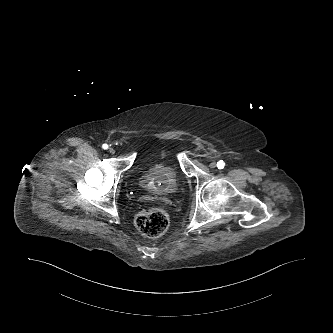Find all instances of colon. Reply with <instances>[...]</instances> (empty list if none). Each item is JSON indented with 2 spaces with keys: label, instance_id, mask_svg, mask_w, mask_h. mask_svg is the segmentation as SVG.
<instances>
[{
  "label": "colon",
  "instance_id": "1",
  "mask_svg": "<svg viewBox=\"0 0 333 333\" xmlns=\"http://www.w3.org/2000/svg\"><path fill=\"white\" fill-rule=\"evenodd\" d=\"M137 229L147 237H158L168 228L169 217L165 210L156 208L143 211L136 216Z\"/></svg>",
  "mask_w": 333,
  "mask_h": 333
}]
</instances>
